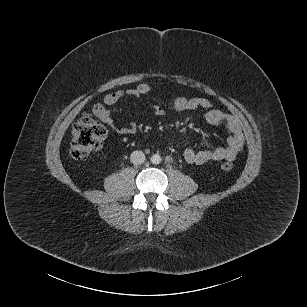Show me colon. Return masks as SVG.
Instances as JSON below:
<instances>
[{
	"label": "colon",
	"mask_w": 307,
	"mask_h": 307,
	"mask_svg": "<svg viewBox=\"0 0 307 307\" xmlns=\"http://www.w3.org/2000/svg\"><path fill=\"white\" fill-rule=\"evenodd\" d=\"M105 137V127L93 118L91 112L84 114L72 127L70 144L72 157L78 160L86 159L101 148ZM221 168L231 171L234 165L231 162H224Z\"/></svg>",
	"instance_id": "obj_1"
}]
</instances>
